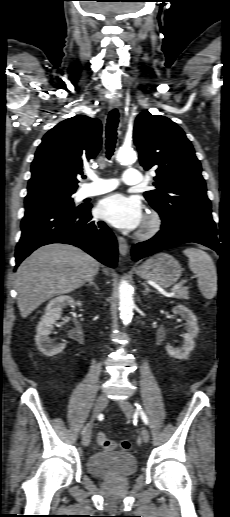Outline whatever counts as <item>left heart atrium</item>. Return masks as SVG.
Returning <instances> with one entry per match:
<instances>
[{"mask_svg":"<svg viewBox=\"0 0 230 517\" xmlns=\"http://www.w3.org/2000/svg\"><path fill=\"white\" fill-rule=\"evenodd\" d=\"M97 214L116 228L132 230L143 219L140 201L135 197L114 194L102 199L97 206Z\"/></svg>","mask_w":230,"mask_h":517,"instance_id":"obj_1","label":"left heart atrium"}]
</instances>
